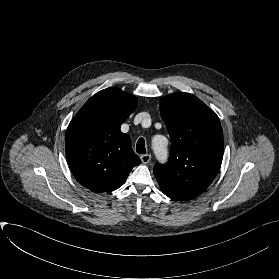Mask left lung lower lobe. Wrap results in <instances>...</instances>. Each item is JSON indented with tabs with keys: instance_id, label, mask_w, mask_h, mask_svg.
<instances>
[{
	"instance_id": "0a47b994",
	"label": "left lung lower lobe",
	"mask_w": 279,
	"mask_h": 279,
	"mask_svg": "<svg viewBox=\"0 0 279 279\" xmlns=\"http://www.w3.org/2000/svg\"><path fill=\"white\" fill-rule=\"evenodd\" d=\"M163 191V190H162ZM163 193L168 196L169 198L171 199H174V200H178V201H186V200H189V198H186L184 196H180V195H175L173 193H170V192H166V191H163Z\"/></svg>"
}]
</instances>
